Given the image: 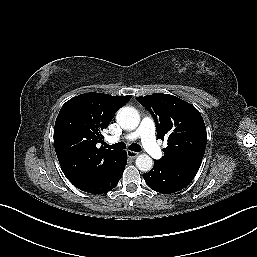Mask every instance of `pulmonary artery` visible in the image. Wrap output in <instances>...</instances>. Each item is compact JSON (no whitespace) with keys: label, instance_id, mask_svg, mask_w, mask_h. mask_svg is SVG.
<instances>
[{"label":"pulmonary artery","instance_id":"pulmonary-artery-1","mask_svg":"<svg viewBox=\"0 0 257 257\" xmlns=\"http://www.w3.org/2000/svg\"><path fill=\"white\" fill-rule=\"evenodd\" d=\"M155 134L156 125L154 120L150 117H145L142 119L139 127L135 131L125 135L122 139L127 141H133L139 138L142 142L143 147L149 153V155L155 159H158L161 157L162 152L156 144ZM108 140L110 142H115L119 139L109 137Z\"/></svg>","mask_w":257,"mask_h":257}]
</instances>
